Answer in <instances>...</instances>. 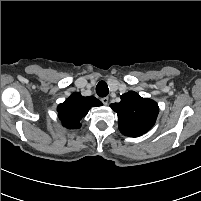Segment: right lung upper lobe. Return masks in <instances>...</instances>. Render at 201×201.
Wrapping results in <instances>:
<instances>
[{"mask_svg": "<svg viewBox=\"0 0 201 201\" xmlns=\"http://www.w3.org/2000/svg\"><path fill=\"white\" fill-rule=\"evenodd\" d=\"M101 105L102 102L97 98L83 97L80 93L75 92L58 105L57 111L63 126L68 129H78L81 126L80 120L87 115L89 109Z\"/></svg>", "mask_w": 201, "mask_h": 201, "instance_id": "right-lung-upper-lobe-1", "label": "right lung upper lobe"}]
</instances>
